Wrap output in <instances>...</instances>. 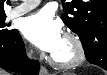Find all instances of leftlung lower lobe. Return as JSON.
Here are the masks:
<instances>
[{"label": "left lung lower lobe", "instance_id": "obj_1", "mask_svg": "<svg viewBox=\"0 0 107 75\" xmlns=\"http://www.w3.org/2000/svg\"><path fill=\"white\" fill-rule=\"evenodd\" d=\"M86 58L90 63L107 70V44L103 40L99 41L94 52Z\"/></svg>", "mask_w": 107, "mask_h": 75}]
</instances>
